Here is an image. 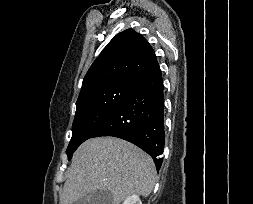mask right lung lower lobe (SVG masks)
I'll return each instance as SVG.
<instances>
[{
  "mask_svg": "<svg viewBox=\"0 0 253 204\" xmlns=\"http://www.w3.org/2000/svg\"><path fill=\"white\" fill-rule=\"evenodd\" d=\"M99 136H114L137 145L160 169L165 132L163 79L158 63L134 83L93 137Z\"/></svg>",
  "mask_w": 253,
  "mask_h": 204,
  "instance_id": "1",
  "label": "right lung lower lobe"
}]
</instances>
